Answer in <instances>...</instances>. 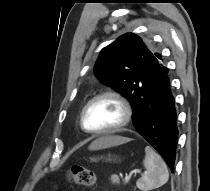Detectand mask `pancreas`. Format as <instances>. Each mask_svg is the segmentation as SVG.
Masks as SVG:
<instances>
[{
    "mask_svg": "<svg viewBox=\"0 0 210 191\" xmlns=\"http://www.w3.org/2000/svg\"><path fill=\"white\" fill-rule=\"evenodd\" d=\"M111 182H112L113 184L118 183V182H119L118 176H117V175H112V176H111Z\"/></svg>",
    "mask_w": 210,
    "mask_h": 191,
    "instance_id": "pancreas-1",
    "label": "pancreas"
}]
</instances>
